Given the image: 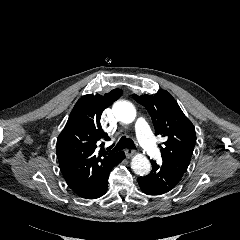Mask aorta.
Masks as SVG:
<instances>
[{
  "mask_svg": "<svg viewBox=\"0 0 240 240\" xmlns=\"http://www.w3.org/2000/svg\"><path fill=\"white\" fill-rule=\"evenodd\" d=\"M116 119L122 123H132L136 118V110L128 101H117L112 108ZM131 168L135 174L143 176L151 171V164L148 158L142 154H136L131 161Z\"/></svg>",
  "mask_w": 240,
  "mask_h": 240,
  "instance_id": "1",
  "label": "aorta"
}]
</instances>
